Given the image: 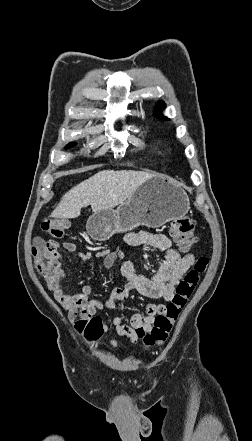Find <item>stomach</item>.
<instances>
[{
  "label": "stomach",
  "mask_w": 252,
  "mask_h": 441,
  "mask_svg": "<svg viewBox=\"0 0 252 441\" xmlns=\"http://www.w3.org/2000/svg\"><path fill=\"white\" fill-rule=\"evenodd\" d=\"M189 208L188 196L181 187L165 176L154 175L117 209L94 212L86 228L92 239L105 241L139 225L160 227L184 217Z\"/></svg>",
  "instance_id": "stomach-1"
}]
</instances>
